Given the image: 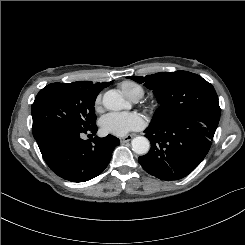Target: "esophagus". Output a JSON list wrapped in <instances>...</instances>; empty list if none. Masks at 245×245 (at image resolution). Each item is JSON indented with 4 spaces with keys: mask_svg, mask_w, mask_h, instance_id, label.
<instances>
[{
    "mask_svg": "<svg viewBox=\"0 0 245 245\" xmlns=\"http://www.w3.org/2000/svg\"><path fill=\"white\" fill-rule=\"evenodd\" d=\"M132 138H133L132 135H126V136L120 137V142L126 143V142H129Z\"/></svg>",
    "mask_w": 245,
    "mask_h": 245,
    "instance_id": "34e87169",
    "label": "esophagus"
}]
</instances>
